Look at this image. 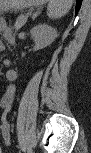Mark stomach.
Wrapping results in <instances>:
<instances>
[{
	"mask_svg": "<svg viewBox=\"0 0 91 153\" xmlns=\"http://www.w3.org/2000/svg\"><path fill=\"white\" fill-rule=\"evenodd\" d=\"M42 3V1H36V0H1L0 4L1 7H8L10 5H16V9H20L22 7L31 6V5H38Z\"/></svg>",
	"mask_w": 91,
	"mask_h": 153,
	"instance_id": "0dacf381",
	"label": "stomach"
}]
</instances>
